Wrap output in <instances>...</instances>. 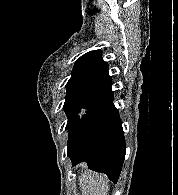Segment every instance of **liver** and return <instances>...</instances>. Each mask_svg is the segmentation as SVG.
Here are the masks:
<instances>
[{
  "mask_svg": "<svg viewBox=\"0 0 178 195\" xmlns=\"http://www.w3.org/2000/svg\"><path fill=\"white\" fill-rule=\"evenodd\" d=\"M79 185L82 195H108L109 184L107 177L88 170L85 164L82 165Z\"/></svg>",
  "mask_w": 178,
  "mask_h": 195,
  "instance_id": "6515ba94",
  "label": "liver"
}]
</instances>
